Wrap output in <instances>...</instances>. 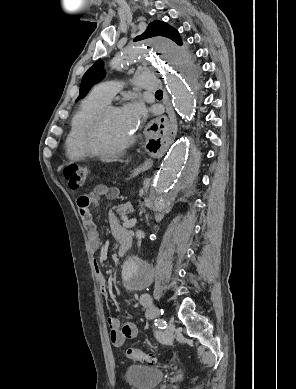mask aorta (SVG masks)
<instances>
[{
    "instance_id": "obj_1",
    "label": "aorta",
    "mask_w": 296,
    "mask_h": 389,
    "mask_svg": "<svg viewBox=\"0 0 296 389\" xmlns=\"http://www.w3.org/2000/svg\"><path fill=\"white\" fill-rule=\"evenodd\" d=\"M133 62L156 66L163 75L172 104L177 113L191 120L196 111L201 91L198 86L200 69L193 67L190 56L174 42L156 38L120 49L110 61L112 69L120 71ZM201 149L189 145L187 138L175 142L158 171L151 189L148 204L152 212L163 211L172 201L178 189L192 186L193 169L199 163ZM153 268L137 255H129L122 267V279L132 290L150 286Z\"/></svg>"
}]
</instances>
